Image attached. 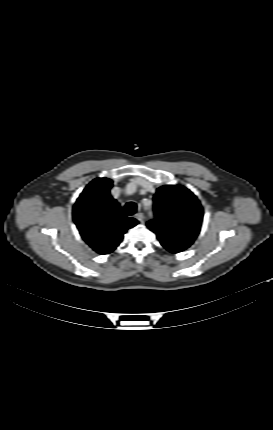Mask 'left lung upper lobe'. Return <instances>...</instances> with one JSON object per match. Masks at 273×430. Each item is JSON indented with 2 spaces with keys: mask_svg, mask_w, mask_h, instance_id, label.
I'll return each instance as SVG.
<instances>
[{
  "mask_svg": "<svg viewBox=\"0 0 273 430\" xmlns=\"http://www.w3.org/2000/svg\"><path fill=\"white\" fill-rule=\"evenodd\" d=\"M155 218L147 222L161 245L179 253L194 242L201 228L203 209L197 197L180 185H166L154 195Z\"/></svg>",
  "mask_w": 273,
  "mask_h": 430,
  "instance_id": "obj_1",
  "label": "left lung upper lobe"
}]
</instances>
